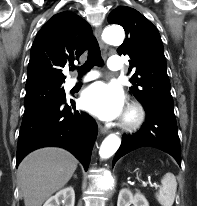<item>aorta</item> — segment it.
<instances>
[{
	"instance_id": "1",
	"label": "aorta",
	"mask_w": 197,
	"mask_h": 206,
	"mask_svg": "<svg viewBox=\"0 0 197 206\" xmlns=\"http://www.w3.org/2000/svg\"><path fill=\"white\" fill-rule=\"evenodd\" d=\"M103 39L110 45H120L124 40V31L121 27H107L103 31ZM121 140L116 134L108 135L101 144L99 155L102 159L111 157L120 147ZM99 186L103 190H111L114 186L113 178L109 171H104Z\"/></svg>"
}]
</instances>
